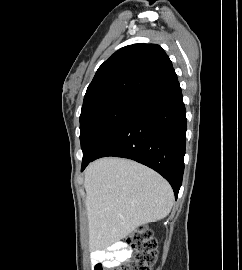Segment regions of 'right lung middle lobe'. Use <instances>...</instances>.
I'll list each match as a JSON object with an SVG mask.
<instances>
[{
    "instance_id": "dd1d6c3e",
    "label": "right lung middle lobe",
    "mask_w": 242,
    "mask_h": 270,
    "mask_svg": "<svg viewBox=\"0 0 242 270\" xmlns=\"http://www.w3.org/2000/svg\"><path fill=\"white\" fill-rule=\"evenodd\" d=\"M137 103L119 100L90 108L80 115L82 163L90 160L117 130Z\"/></svg>"
}]
</instances>
